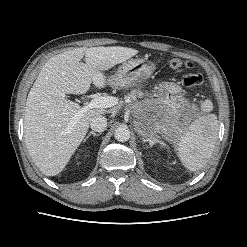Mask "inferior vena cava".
<instances>
[{
    "label": "inferior vena cava",
    "mask_w": 247,
    "mask_h": 247,
    "mask_svg": "<svg viewBox=\"0 0 247 247\" xmlns=\"http://www.w3.org/2000/svg\"><path fill=\"white\" fill-rule=\"evenodd\" d=\"M90 126L96 132H103L107 127V119L102 115H97L91 119Z\"/></svg>",
    "instance_id": "inferior-vena-cava-1"
}]
</instances>
